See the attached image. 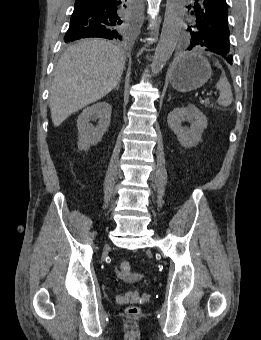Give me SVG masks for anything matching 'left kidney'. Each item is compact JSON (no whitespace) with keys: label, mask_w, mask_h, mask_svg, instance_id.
Masks as SVG:
<instances>
[{"label":"left kidney","mask_w":261,"mask_h":340,"mask_svg":"<svg viewBox=\"0 0 261 340\" xmlns=\"http://www.w3.org/2000/svg\"><path fill=\"white\" fill-rule=\"evenodd\" d=\"M185 120H194L190 128L181 125ZM167 122L185 148L196 146L201 141L202 133L208 124L207 117L193 104L175 108L168 114Z\"/></svg>","instance_id":"5707ae66"}]
</instances>
